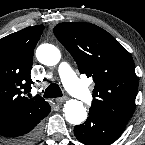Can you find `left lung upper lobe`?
Listing matches in <instances>:
<instances>
[{
	"label": "left lung upper lobe",
	"instance_id": "obj_1",
	"mask_svg": "<svg viewBox=\"0 0 145 145\" xmlns=\"http://www.w3.org/2000/svg\"><path fill=\"white\" fill-rule=\"evenodd\" d=\"M58 40L95 82L90 111L126 125L138 89L134 61L115 38L90 23L64 22L54 28Z\"/></svg>",
	"mask_w": 145,
	"mask_h": 145
}]
</instances>
